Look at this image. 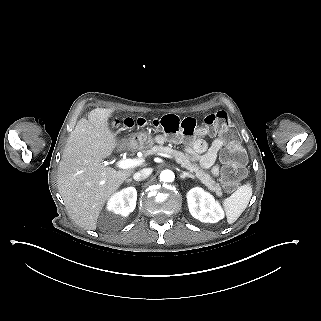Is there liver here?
I'll return each instance as SVG.
<instances>
[{
    "mask_svg": "<svg viewBox=\"0 0 321 321\" xmlns=\"http://www.w3.org/2000/svg\"><path fill=\"white\" fill-rule=\"evenodd\" d=\"M113 109L96 108L88 120L80 119L65 145L58 168V190L71 219L80 227L95 230L106 201L133 173L116 171L103 164L119 145L108 127Z\"/></svg>",
    "mask_w": 321,
    "mask_h": 321,
    "instance_id": "1",
    "label": "liver"
}]
</instances>
